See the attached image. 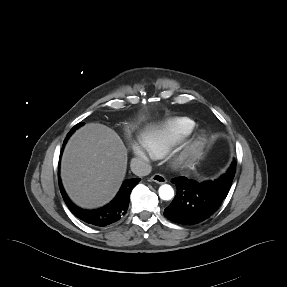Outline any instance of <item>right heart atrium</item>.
Listing matches in <instances>:
<instances>
[{"mask_svg":"<svg viewBox=\"0 0 287 287\" xmlns=\"http://www.w3.org/2000/svg\"><path fill=\"white\" fill-rule=\"evenodd\" d=\"M131 148L133 153L139 158L147 159L153 154L147 140L143 137L137 138L132 143Z\"/></svg>","mask_w":287,"mask_h":287,"instance_id":"1","label":"right heart atrium"}]
</instances>
